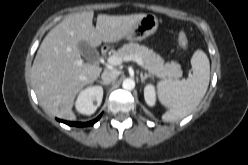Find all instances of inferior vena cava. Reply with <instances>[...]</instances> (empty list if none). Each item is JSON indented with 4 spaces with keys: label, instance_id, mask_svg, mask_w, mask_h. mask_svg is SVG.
I'll list each match as a JSON object with an SVG mask.
<instances>
[{
    "label": "inferior vena cava",
    "instance_id": "1",
    "mask_svg": "<svg viewBox=\"0 0 248 165\" xmlns=\"http://www.w3.org/2000/svg\"><path fill=\"white\" fill-rule=\"evenodd\" d=\"M120 72L116 69H106L101 75V78L104 82L111 83L114 81L118 76Z\"/></svg>",
    "mask_w": 248,
    "mask_h": 165
}]
</instances>
